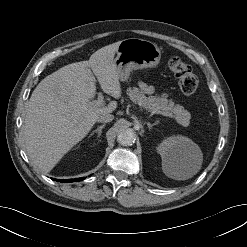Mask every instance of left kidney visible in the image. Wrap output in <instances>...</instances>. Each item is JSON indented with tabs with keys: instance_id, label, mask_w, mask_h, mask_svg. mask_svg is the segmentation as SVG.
<instances>
[{
	"instance_id": "obj_1",
	"label": "left kidney",
	"mask_w": 247,
	"mask_h": 247,
	"mask_svg": "<svg viewBox=\"0 0 247 247\" xmlns=\"http://www.w3.org/2000/svg\"><path fill=\"white\" fill-rule=\"evenodd\" d=\"M163 163L175 164L180 158L191 159L198 152V146L184 136H171L164 139L157 147Z\"/></svg>"
}]
</instances>
